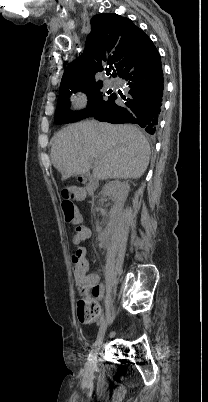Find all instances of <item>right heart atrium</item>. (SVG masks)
Here are the masks:
<instances>
[{
  "label": "right heart atrium",
  "mask_w": 208,
  "mask_h": 402,
  "mask_svg": "<svg viewBox=\"0 0 208 402\" xmlns=\"http://www.w3.org/2000/svg\"><path fill=\"white\" fill-rule=\"evenodd\" d=\"M89 96V90L81 88L70 96V101L75 109H80L86 105Z\"/></svg>",
  "instance_id": "obj_1"
}]
</instances>
